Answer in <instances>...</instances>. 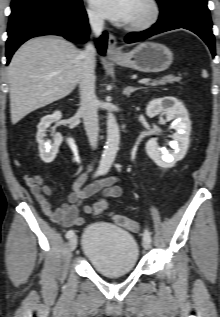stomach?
<instances>
[{"instance_id":"1","label":"stomach","mask_w":220,"mask_h":317,"mask_svg":"<svg viewBox=\"0 0 220 317\" xmlns=\"http://www.w3.org/2000/svg\"><path fill=\"white\" fill-rule=\"evenodd\" d=\"M111 61L119 66L140 72H161L172 64L173 54L163 44L143 42L129 53L112 57Z\"/></svg>"}]
</instances>
